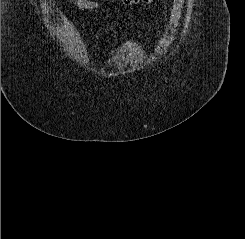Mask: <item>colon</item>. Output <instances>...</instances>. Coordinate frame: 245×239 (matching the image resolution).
Wrapping results in <instances>:
<instances>
[{
	"instance_id": "colon-1",
	"label": "colon",
	"mask_w": 245,
	"mask_h": 239,
	"mask_svg": "<svg viewBox=\"0 0 245 239\" xmlns=\"http://www.w3.org/2000/svg\"><path fill=\"white\" fill-rule=\"evenodd\" d=\"M124 4L131 5L137 3H150L152 0H121Z\"/></svg>"
}]
</instances>
